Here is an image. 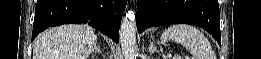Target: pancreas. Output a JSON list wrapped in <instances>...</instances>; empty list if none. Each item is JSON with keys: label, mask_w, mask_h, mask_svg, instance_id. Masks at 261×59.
Wrapping results in <instances>:
<instances>
[{"label": "pancreas", "mask_w": 261, "mask_h": 59, "mask_svg": "<svg viewBox=\"0 0 261 59\" xmlns=\"http://www.w3.org/2000/svg\"><path fill=\"white\" fill-rule=\"evenodd\" d=\"M173 59H180V57H178V56H175Z\"/></svg>", "instance_id": "obj_1"}]
</instances>
